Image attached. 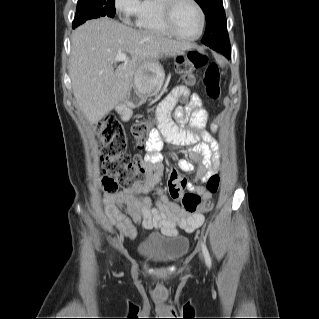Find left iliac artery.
Wrapping results in <instances>:
<instances>
[{
  "label": "left iliac artery",
  "instance_id": "1",
  "mask_svg": "<svg viewBox=\"0 0 319 319\" xmlns=\"http://www.w3.org/2000/svg\"><path fill=\"white\" fill-rule=\"evenodd\" d=\"M201 246H202V252L204 254L206 264L208 265V267H211V257L208 252V249L204 243H202Z\"/></svg>",
  "mask_w": 319,
  "mask_h": 319
}]
</instances>
